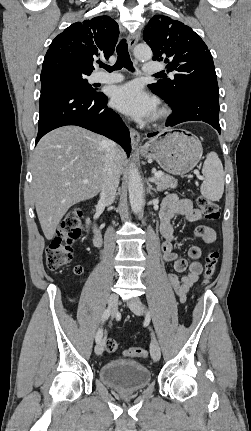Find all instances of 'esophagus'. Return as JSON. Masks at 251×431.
Listing matches in <instances>:
<instances>
[{
    "instance_id": "1",
    "label": "esophagus",
    "mask_w": 251,
    "mask_h": 431,
    "mask_svg": "<svg viewBox=\"0 0 251 431\" xmlns=\"http://www.w3.org/2000/svg\"><path fill=\"white\" fill-rule=\"evenodd\" d=\"M140 39V32L137 31L136 33L129 35L127 37V43L129 48L132 50L133 47L137 44L138 40ZM130 138H131V145L133 149H136L139 146L140 143V134L138 131H136L133 128H130Z\"/></svg>"
}]
</instances>
